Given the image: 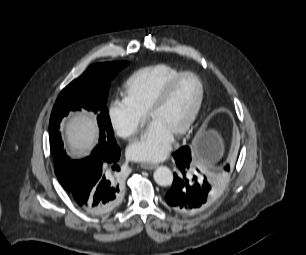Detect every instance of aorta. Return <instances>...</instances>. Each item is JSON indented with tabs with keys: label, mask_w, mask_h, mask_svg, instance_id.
Masks as SVG:
<instances>
[{
	"label": "aorta",
	"mask_w": 306,
	"mask_h": 255,
	"mask_svg": "<svg viewBox=\"0 0 306 255\" xmlns=\"http://www.w3.org/2000/svg\"><path fill=\"white\" fill-rule=\"evenodd\" d=\"M155 182L162 187L170 186L173 182V173L166 166L158 167L153 174Z\"/></svg>",
	"instance_id": "aorta-1"
}]
</instances>
